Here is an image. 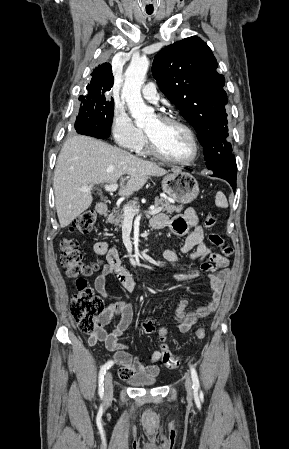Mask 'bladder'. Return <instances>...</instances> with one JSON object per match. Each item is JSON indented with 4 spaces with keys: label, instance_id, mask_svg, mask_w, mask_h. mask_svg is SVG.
<instances>
[{
    "label": "bladder",
    "instance_id": "bladder-1",
    "mask_svg": "<svg viewBox=\"0 0 289 449\" xmlns=\"http://www.w3.org/2000/svg\"><path fill=\"white\" fill-rule=\"evenodd\" d=\"M129 383L137 387H148L155 385L157 378L147 374H137L129 379Z\"/></svg>",
    "mask_w": 289,
    "mask_h": 449
}]
</instances>
